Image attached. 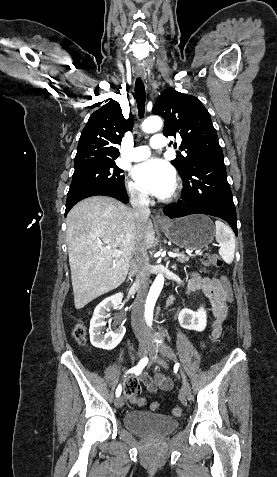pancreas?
Listing matches in <instances>:
<instances>
[{
	"instance_id": "1",
	"label": "pancreas",
	"mask_w": 277,
	"mask_h": 477,
	"mask_svg": "<svg viewBox=\"0 0 277 477\" xmlns=\"http://www.w3.org/2000/svg\"><path fill=\"white\" fill-rule=\"evenodd\" d=\"M177 260L181 263H185L189 260V257L188 256H180V257L177 258Z\"/></svg>"
}]
</instances>
